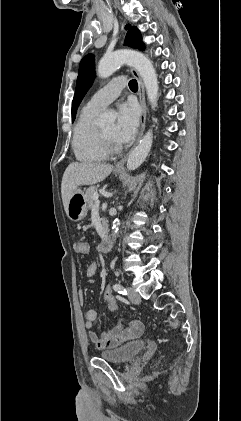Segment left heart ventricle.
Wrapping results in <instances>:
<instances>
[{
  "label": "left heart ventricle",
  "mask_w": 241,
  "mask_h": 421,
  "mask_svg": "<svg viewBox=\"0 0 241 421\" xmlns=\"http://www.w3.org/2000/svg\"><path fill=\"white\" fill-rule=\"evenodd\" d=\"M108 138H110L111 140H113L114 142H116L115 141V138H114V132H115V126L114 125H109V126H107V127H105V128H103L102 130H101ZM117 143V142H116Z\"/></svg>",
  "instance_id": "obj_1"
}]
</instances>
